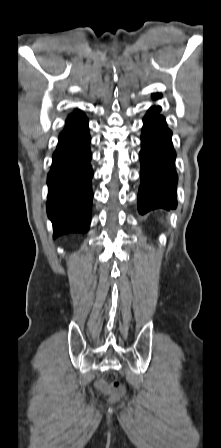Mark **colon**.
<instances>
[{
	"instance_id": "1",
	"label": "colon",
	"mask_w": 221,
	"mask_h": 448,
	"mask_svg": "<svg viewBox=\"0 0 221 448\" xmlns=\"http://www.w3.org/2000/svg\"><path fill=\"white\" fill-rule=\"evenodd\" d=\"M98 386L102 390L107 391L110 394L111 399L114 401L122 399V397L124 395V387H123L122 383L118 380L113 381L110 384H108L104 381H100L98 383Z\"/></svg>"
}]
</instances>
